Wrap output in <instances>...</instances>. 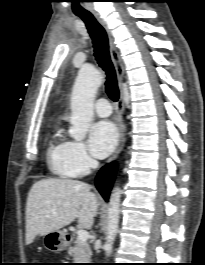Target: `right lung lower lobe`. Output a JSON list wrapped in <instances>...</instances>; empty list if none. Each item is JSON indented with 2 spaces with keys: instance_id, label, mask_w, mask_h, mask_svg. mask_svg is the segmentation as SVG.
<instances>
[{
  "instance_id": "right-lung-lower-lobe-1",
  "label": "right lung lower lobe",
  "mask_w": 205,
  "mask_h": 265,
  "mask_svg": "<svg viewBox=\"0 0 205 265\" xmlns=\"http://www.w3.org/2000/svg\"><path fill=\"white\" fill-rule=\"evenodd\" d=\"M115 170V163L108 164L100 170L95 179V185L106 201H108L110 191L114 182Z\"/></svg>"
}]
</instances>
